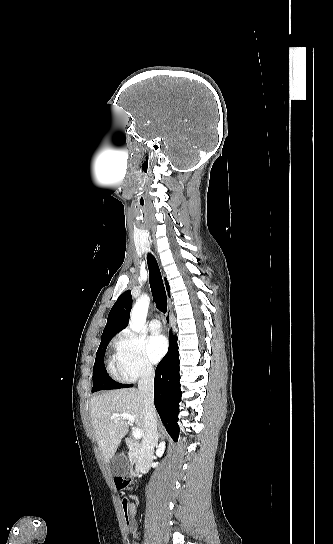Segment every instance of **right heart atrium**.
Masks as SVG:
<instances>
[{"mask_svg": "<svg viewBox=\"0 0 333 544\" xmlns=\"http://www.w3.org/2000/svg\"><path fill=\"white\" fill-rule=\"evenodd\" d=\"M115 365L121 380L135 382L149 378L154 367L148 359L143 341L129 330H123L113 340Z\"/></svg>", "mask_w": 333, "mask_h": 544, "instance_id": "d8ad5b80", "label": "right heart atrium"}]
</instances>
